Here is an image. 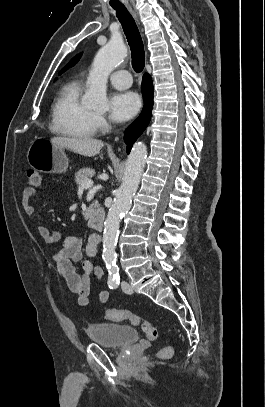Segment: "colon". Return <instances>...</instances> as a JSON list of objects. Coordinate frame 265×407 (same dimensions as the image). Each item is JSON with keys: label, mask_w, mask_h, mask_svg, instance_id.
<instances>
[{"label": "colon", "mask_w": 265, "mask_h": 407, "mask_svg": "<svg viewBox=\"0 0 265 407\" xmlns=\"http://www.w3.org/2000/svg\"><path fill=\"white\" fill-rule=\"evenodd\" d=\"M28 184L33 189H41L43 186V179L41 174L33 169L27 171ZM105 318L109 321L123 322L129 321L131 324L140 326L143 334L149 340H154L157 337V328L150 322L142 319L138 315L125 309H109L105 312ZM174 349L168 345L163 347L158 353L157 357L161 359L170 358L173 355Z\"/></svg>", "instance_id": "colon-1"}]
</instances>
